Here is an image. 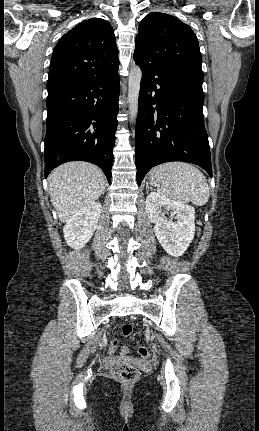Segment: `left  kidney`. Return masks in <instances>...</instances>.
<instances>
[{
	"instance_id": "left-kidney-1",
	"label": "left kidney",
	"mask_w": 259,
	"mask_h": 431,
	"mask_svg": "<svg viewBox=\"0 0 259 431\" xmlns=\"http://www.w3.org/2000/svg\"><path fill=\"white\" fill-rule=\"evenodd\" d=\"M145 205L149 220L155 224L154 232L161 246L171 256L183 255L195 234L194 207L157 192L148 194ZM163 208L176 215L177 222L167 220Z\"/></svg>"
}]
</instances>
